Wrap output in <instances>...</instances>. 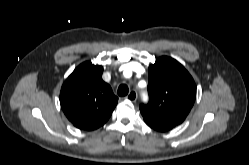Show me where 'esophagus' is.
Wrapping results in <instances>:
<instances>
[{
    "label": "esophagus",
    "mask_w": 249,
    "mask_h": 165,
    "mask_svg": "<svg viewBox=\"0 0 249 165\" xmlns=\"http://www.w3.org/2000/svg\"><path fill=\"white\" fill-rule=\"evenodd\" d=\"M137 92L132 90L129 92V94L126 96V99L131 101V102H135L137 100Z\"/></svg>",
    "instance_id": "34e87169"
}]
</instances>
